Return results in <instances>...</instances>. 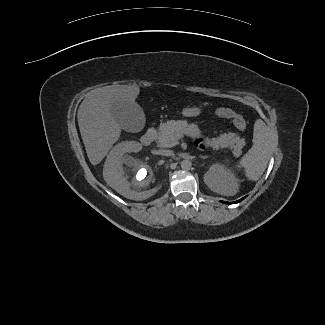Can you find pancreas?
<instances>
[{"label":"pancreas","mask_w":325,"mask_h":325,"mask_svg":"<svg viewBox=\"0 0 325 325\" xmlns=\"http://www.w3.org/2000/svg\"><path fill=\"white\" fill-rule=\"evenodd\" d=\"M200 136L201 131L196 124H188L187 121L171 120L160 125L158 130L157 144L159 147H173L179 143L182 135ZM213 149L229 148L234 156L238 157L245 146V140L236 133H224L218 138L209 140Z\"/></svg>","instance_id":"pancreas-1"}]
</instances>
